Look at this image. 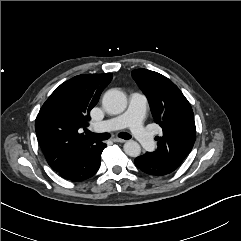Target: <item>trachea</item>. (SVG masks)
Segmentation results:
<instances>
[{
    "label": "trachea",
    "instance_id": "obj_1",
    "mask_svg": "<svg viewBox=\"0 0 241 241\" xmlns=\"http://www.w3.org/2000/svg\"><path fill=\"white\" fill-rule=\"evenodd\" d=\"M87 136L92 137L96 140H107L110 138V134L108 133H101V134H96V133H91V132H87ZM118 137L128 140L131 138V135L125 132H121L118 134Z\"/></svg>",
    "mask_w": 241,
    "mask_h": 241
}]
</instances>
